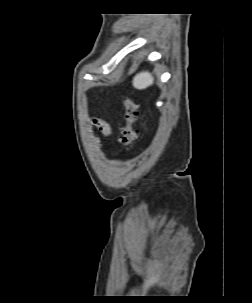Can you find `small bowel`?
<instances>
[{"label":"small bowel","instance_id":"1","mask_svg":"<svg viewBox=\"0 0 252 303\" xmlns=\"http://www.w3.org/2000/svg\"><path fill=\"white\" fill-rule=\"evenodd\" d=\"M92 123L97 128L99 132H101L105 136H109L111 134V127L108 123H105L99 119L94 118Z\"/></svg>","mask_w":252,"mask_h":303}]
</instances>
